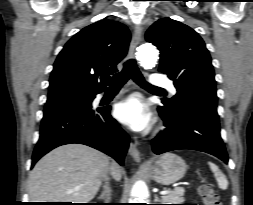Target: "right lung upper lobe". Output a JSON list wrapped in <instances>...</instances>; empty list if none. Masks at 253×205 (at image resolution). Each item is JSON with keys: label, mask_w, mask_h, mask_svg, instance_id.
<instances>
[{"label": "right lung upper lobe", "mask_w": 253, "mask_h": 205, "mask_svg": "<svg viewBox=\"0 0 253 205\" xmlns=\"http://www.w3.org/2000/svg\"><path fill=\"white\" fill-rule=\"evenodd\" d=\"M128 28L117 21L101 20L74 35L59 53L50 76L47 102L89 97L105 90L109 75L126 56Z\"/></svg>", "instance_id": "1"}]
</instances>
